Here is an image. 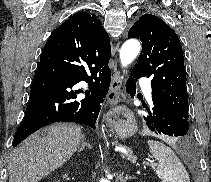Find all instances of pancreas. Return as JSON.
Returning <instances> with one entry per match:
<instances>
[{
    "label": "pancreas",
    "instance_id": "1",
    "mask_svg": "<svg viewBox=\"0 0 211 182\" xmlns=\"http://www.w3.org/2000/svg\"><path fill=\"white\" fill-rule=\"evenodd\" d=\"M128 151H129V154L128 155L123 154L122 157L126 158L127 160H130V161H135L136 157L134 155H132V153L129 149H128Z\"/></svg>",
    "mask_w": 211,
    "mask_h": 182
}]
</instances>
